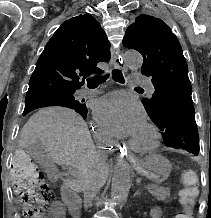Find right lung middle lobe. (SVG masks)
<instances>
[{
	"mask_svg": "<svg viewBox=\"0 0 211 218\" xmlns=\"http://www.w3.org/2000/svg\"><path fill=\"white\" fill-rule=\"evenodd\" d=\"M75 91L60 92L25 102L23 115L41 108L62 106L74 109L85 118L88 110L83 104L84 100L78 101L75 99L73 95Z\"/></svg>",
	"mask_w": 211,
	"mask_h": 218,
	"instance_id": "1",
	"label": "right lung middle lobe"
}]
</instances>
